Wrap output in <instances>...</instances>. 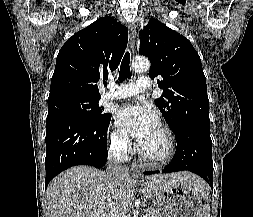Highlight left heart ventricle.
<instances>
[{"label": "left heart ventricle", "instance_id": "obj_1", "mask_svg": "<svg viewBox=\"0 0 253 217\" xmlns=\"http://www.w3.org/2000/svg\"><path fill=\"white\" fill-rule=\"evenodd\" d=\"M139 146L148 156L158 158L165 155L167 140L163 132L157 127Z\"/></svg>", "mask_w": 253, "mask_h": 217}]
</instances>
